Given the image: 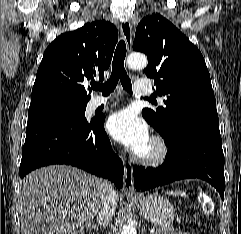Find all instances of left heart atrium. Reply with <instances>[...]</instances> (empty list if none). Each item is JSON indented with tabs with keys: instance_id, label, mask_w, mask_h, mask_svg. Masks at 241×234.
I'll return each mask as SVG.
<instances>
[{
	"instance_id": "1",
	"label": "left heart atrium",
	"mask_w": 241,
	"mask_h": 234,
	"mask_svg": "<svg viewBox=\"0 0 241 234\" xmlns=\"http://www.w3.org/2000/svg\"><path fill=\"white\" fill-rule=\"evenodd\" d=\"M109 134L135 154L141 153L150 142L146 122L131 109L113 113L106 124Z\"/></svg>"
}]
</instances>
